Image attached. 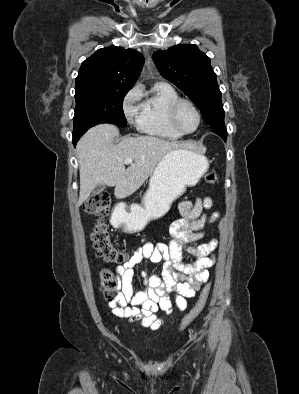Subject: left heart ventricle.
I'll return each instance as SVG.
<instances>
[{
  "label": "left heart ventricle",
  "mask_w": 299,
  "mask_h": 394,
  "mask_svg": "<svg viewBox=\"0 0 299 394\" xmlns=\"http://www.w3.org/2000/svg\"><path fill=\"white\" fill-rule=\"evenodd\" d=\"M178 123L185 131H193L198 124L195 111L188 105H183L178 112Z\"/></svg>",
  "instance_id": "1"
}]
</instances>
